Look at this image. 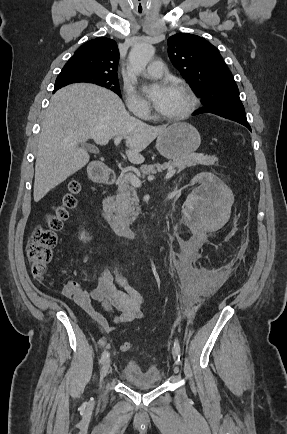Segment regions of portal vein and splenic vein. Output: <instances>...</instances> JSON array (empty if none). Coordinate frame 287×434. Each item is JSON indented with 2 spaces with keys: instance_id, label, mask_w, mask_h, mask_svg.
<instances>
[{
  "instance_id": "obj_1",
  "label": "portal vein and splenic vein",
  "mask_w": 287,
  "mask_h": 434,
  "mask_svg": "<svg viewBox=\"0 0 287 434\" xmlns=\"http://www.w3.org/2000/svg\"><path fill=\"white\" fill-rule=\"evenodd\" d=\"M122 138L121 137H116L114 139V143L115 145H119V143L121 142ZM175 169H168V172L165 175V180L170 179L174 174H175ZM130 182L134 187H140L142 185V182L139 178H137L135 175H131L130 176Z\"/></svg>"
}]
</instances>
